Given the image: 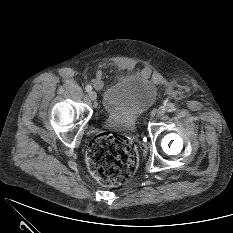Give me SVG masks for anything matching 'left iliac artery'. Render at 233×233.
Returning a JSON list of instances; mask_svg holds the SVG:
<instances>
[{"label": "left iliac artery", "instance_id": "obj_1", "mask_svg": "<svg viewBox=\"0 0 233 233\" xmlns=\"http://www.w3.org/2000/svg\"><path fill=\"white\" fill-rule=\"evenodd\" d=\"M166 110H167L168 112H173V111H175V106H174V104L168 103L167 106H166Z\"/></svg>", "mask_w": 233, "mask_h": 233}]
</instances>
